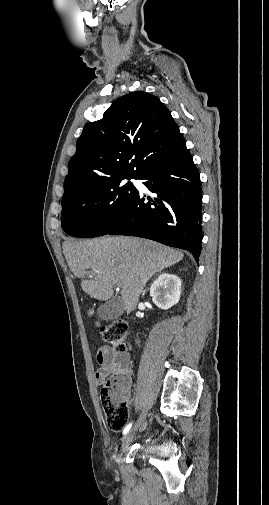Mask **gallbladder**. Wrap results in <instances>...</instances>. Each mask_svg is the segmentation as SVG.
<instances>
[{"mask_svg": "<svg viewBox=\"0 0 269 505\" xmlns=\"http://www.w3.org/2000/svg\"><path fill=\"white\" fill-rule=\"evenodd\" d=\"M124 312V304L121 297L115 296L97 309V315L102 320H114Z\"/></svg>", "mask_w": 269, "mask_h": 505, "instance_id": "bac80fb5", "label": "gallbladder"}]
</instances>
